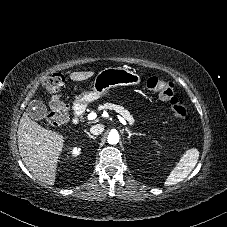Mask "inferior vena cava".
I'll use <instances>...</instances> for the list:
<instances>
[{
	"label": "inferior vena cava",
	"mask_w": 227,
	"mask_h": 227,
	"mask_svg": "<svg viewBox=\"0 0 227 227\" xmlns=\"http://www.w3.org/2000/svg\"><path fill=\"white\" fill-rule=\"evenodd\" d=\"M104 131V125L102 124H95L90 128V132L93 135H100Z\"/></svg>",
	"instance_id": "1"
}]
</instances>
